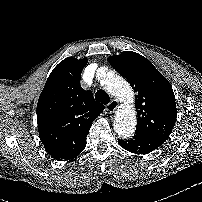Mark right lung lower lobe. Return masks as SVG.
Returning <instances> with one entry per match:
<instances>
[{"label":"right lung lower lobe","mask_w":202,"mask_h":202,"mask_svg":"<svg viewBox=\"0 0 202 202\" xmlns=\"http://www.w3.org/2000/svg\"><path fill=\"white\" fill-rule=\"evenodd\" d=\"M85 146H86V138H85V144H84V146H83L82 149L78 152V154H76V156L79 155V153H81V152L84 150ZM76 156H75V157H76ZM75 157H74V158H75Z\"/></svg>","instance_id":"right-lung-lower-lobe-1"}]
</instances>
